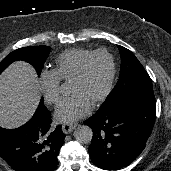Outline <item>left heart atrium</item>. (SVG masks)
I'll return each instance as SVG.
<instances>
[{
    "label": "left heart atrium",
    "instance_id": "39dd6f15",
    "mask_svg": "<svg viewBox=\"0 0 171 171\" xmlns=\"http://www.w3.org/2000/svg\"><path fill=\"white\" fill-rule=\"evenodd\" d=\"M91 111V104L80 94H73L61 101L54 118L60 123H73Z\"/></svg>",
    "mask_w": 171,
    "mask_h": 171
}]
</instances>
